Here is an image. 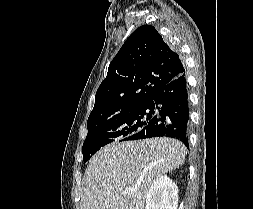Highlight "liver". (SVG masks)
I'll return each mask as SVG.
<instances>
[{
	"label": "liver",
	"mask_w": 253,
	"mask_h": 209,
	"mask_svg": "<svg viewBox=\"0 0 253 209\" xmlns=\"http://www.w3.org/2000/svg\"><path fill=\"white\" fill-rule=\"evenodd\" d=\"M186 147L178 140L156 137L115 142L89 161L81 209H144L148 189L185 162ZM133 194H127V188Z\"/></svg>",
	"instance_id": "obj_1"
}]
</instances>
